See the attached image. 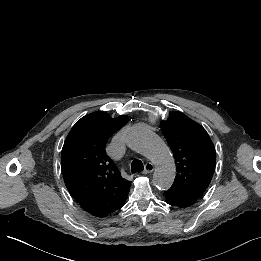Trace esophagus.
<instances>
[{
	"label": "esophagus",
	"instance_id": "1",
	"mask_svg": "<svg viewBox=\"0 0 261 261\" xmlns=\"http://www.w3.org/2000/svg\"><path fill=\"white\" fill-rule=\"evenodd\" d=\"M153 170H154V165H153L151 162H147V163L145 164V169H144L143 174H149V173H151Z\"/></svg>",
	"mask_w": 261,
	"mask_h": 261
}]
</instances>
